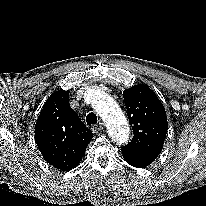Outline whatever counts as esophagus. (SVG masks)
<instances>
[{
  "mask_svg": "<svg viewBox=\"0 0 206 206\" xmlns=\"http://www.w3.org/2000/svg\"><path fill=\"white\" fill-rule=\"evenodd\" d=\"M104 127L103 123H99V124H95L91 127L92 131L94 133L98 132L99 130H101Z\"/></svg>",
  "mask_w": 206,
  "mask_h": 206,
  "instance_id": "34e87169",
  "label": "esophagus"
}]
</instances>
